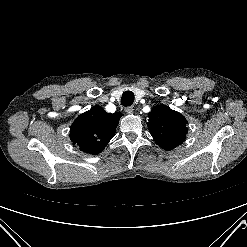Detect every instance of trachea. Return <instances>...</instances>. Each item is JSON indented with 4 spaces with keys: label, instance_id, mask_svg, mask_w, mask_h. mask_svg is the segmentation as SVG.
<instances>
[{
    "label": "trachea",
    "instance_id": "1",
    "mask_svg": "<svg viewBox=\"0 0 247 247\" xmlns=\"http://www.w3.org/2000/svg\"><path fill=\"white\" fill-rule=\"evenodd\" d=\"M134 102V93L132 91H125L121 97V104L123 106H131Z\"/></svg>",
    "mask_w": 247,
    "mask_h": 247
}]
</instances>
